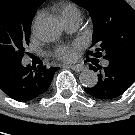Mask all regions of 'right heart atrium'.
<instances>
[{"label":"right heart atrium","mask_w":135,"mask_h":135,"mask_svg":"<svg viewBox=\"0 0 135 135\" xmlns=\"http://www.w3.org/2000/svg\"><path fill=\"white\" fill-rule=\"evenodd\" d=\"M42 17H43V12H41V11L36 14L34 21H33V25H32V30L34 33L36 32L37 26H38L40 20L42 19Z\"/></svg>","instance_id":"1"}]
</instances>
